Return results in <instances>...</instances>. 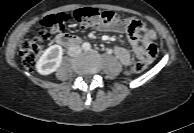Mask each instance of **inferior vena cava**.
I'll use <instances>...</instances> for the list:
<instances>
[{
	"instance_id": "obj_1",
	"label": "inferior vena cava",
	"mask_w": 194,
	"mask_h": 133,
	"mask_svg": "<svg viewBox=\"0 0 194 133\" xmlns=\"http://www.w3.org/2000/svg\"><path fill=\"white\" fill-rule=\"evenodd\" d=\"M82 51L81 47L79 45H72L68 48V55L69 56H77L78 54H80Z\"/></svg>"
}]
</instances>
